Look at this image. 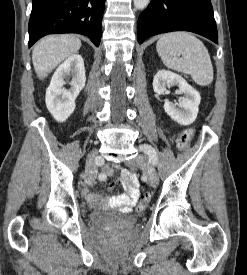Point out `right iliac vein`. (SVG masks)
Here are the masks:
<instances>
[{"instance_id": "right-iliac-vein-1", "label": "right iliac vein", "mask_w": 247, "mask_h": 275, "mask_svg": "<svg viewBox=\"0 0 247 275\" xmlns=\"http://www.w3.org/2000/svg\"><path fill=\"white\" fill-rule=\"evenodd\" d=\"M95 157H97V153L95 151L91 152L86 160V168H85V178L94 179L96 175V168L94 164Z\"/></svg>"}]
</instances>
